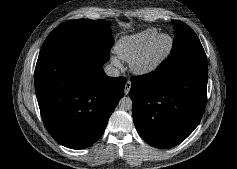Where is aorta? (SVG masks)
Listing matches in <instances>:
<instances>
[{
  "instance_id": "aorta-1",
  "label": "aorta",
  "mask_w": 237,
  "mask_h": 169,
  "mask_svg": "<svg viewBox=\"0 0 237 169\" xmlns=\"http://www.w3.org/2000/svg\"><path fill=\"white\" fill-rule=\"evenodd\" d=\"M132 100L130 97H122L118 103V106L123 111H128L132 109Z\"/></svg>"
}]
</instances>
